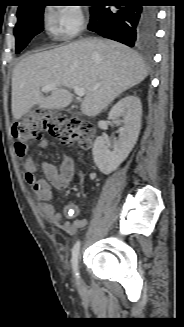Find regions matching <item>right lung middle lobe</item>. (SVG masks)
<instances>
[{
  "mask_svg": "<svg viewBox=\"0 0 184 327\" xmlns=\"http://www.w3.org/2000/svg\"><path fill=\"white\" fill-rule=\"evenodd\" d=\"M44 7L41 4H36L17 12L18 21L14 29L16 53L25 48L35 35L42 32Z\"/></svg>",
  "mask_w": 184,
  "mask_h": 327,
  "instance_id": "1",
  "label": "right lung middle lobe"
}]
</instances>
